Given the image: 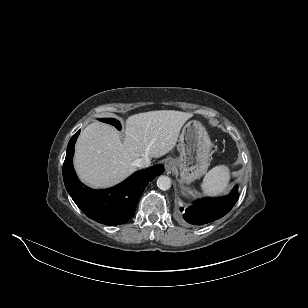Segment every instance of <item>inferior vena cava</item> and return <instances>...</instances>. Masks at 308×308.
Returning <instances> with one entry per match:
<instances>
[{"label":"inferior vena cava","instance_id":"1","mask_svg":"<svg viewBox=\"0 0 308 308\" xmlns=\"http://www.w3.org/2000/svg\"><path fill=\"white\" fill-rule=\"evenodd\" d=\"M151 165V160L149 157H142L135 161V166L139 168H147Z\"/></svg>","mask_w":308,"mask_h":308}]
</instances>
